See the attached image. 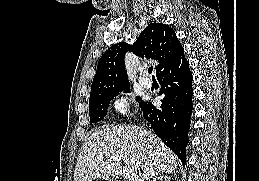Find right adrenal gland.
Instances as JSON below:
<instances>
[{"label":"right adrenal gland","mask_w":259,"mask_h":181,"mask_svg":"<svg viewBox=\"0 0 259 181\" xmlns=\"http://www.w3.org/2000/svg\"><path fill=\"white\" fill-rule=\"evenodd\" d=\"M152 181H170V177L163 176V174H159Z\"/></svg>","instance_id":"1"}]
</instances>
